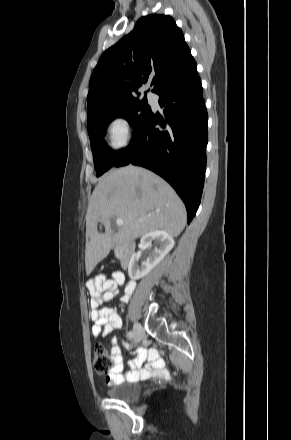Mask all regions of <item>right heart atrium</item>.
I'll return each mask as SVG.
<instances>
[{
    "label": "right heart atrium",
    "instance_id": "1",
    "mask_svg": "<svg viewBox=\"0 0 291 440\" xmlns=\"http://www.w3.org/2000/svg\"><path fill=\"white\" fill-rule=\"evenodd\" d=\"M107 141L115 150L124 149L130 138V126L123 117L111 119L106 127Z\"/></svg>",
    "mask_w": 291,
    "mask_h": 440
}]
</instances>
